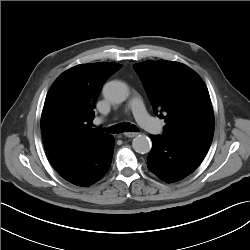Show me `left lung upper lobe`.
<instances>
[{
  "label": "left lung upper lobe",
  "mask_w": 250,
  "mask_h": 250,
  "mask_svg": "<svg viewBox=\"0 0 250 250\" xmlns=\"http://www.w3.org/2000/svg\"><path fill=\"white\" fill-rule=\"evenodd\" d=\"M155 113L164 118V136L211 143L214 115L208 90L188 66L166 60L135 64Z\"/></svg>",
  "instance_id": "obj_1"
}]
</instances>
